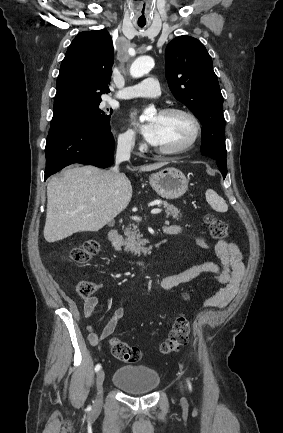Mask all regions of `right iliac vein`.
I'll use <instances>...</instances> for the list:
<instances>
[{"mask_svg":"<svg viewBox=\"0 0 283 433\" xmlns=\"http://www.w3.org/2000/svg\"><path fill=\"white\" fill-rule=\"evenodd\" d=\"M105 379V372L103 369H100L97 373L96 376V386H97V391H98V395H97V401H96V406H99L102 402H103V382Z\"/></svg>","mask_w":283,"mask_h":433,"instance_id":"63e3f726","label":"right iliac vein"}]
</instances>
